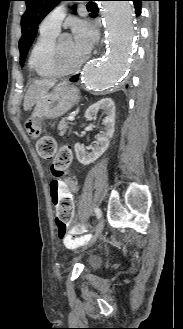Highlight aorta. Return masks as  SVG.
<instances>
[{
  "instance_id": "1",
  "label": "aorta",
  "mask_w": 183,
  "mask_h": 329,
  "mask_svg": "<svg viewBox=\"0 0 183 329\" xmlns=\"http://www.w3.org/2000/svg\"><path fill=\"white\" fill-rule=\"evenodd\" d=\"M102 11L108 50L102 60L85 68L82 80L91 90L110 91L126 69L134 36L133 8L128 1H104Z\"/></svg>"
}]
</instances>
